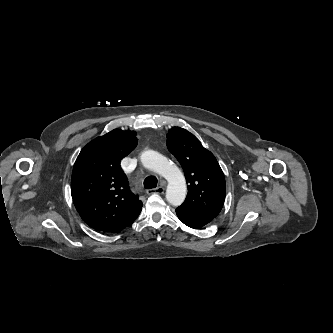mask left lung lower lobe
Returning <instances> with one entry per match:
<instances>
[{"label":"left lung lower lobe","mask_w":333,"mask_h":333,"mask_svg":"<svg viewBox=\"0 0 333 333\" xmlns=\"http://www.w3.org/2000/svg\"><path fill=\"white\" fill-rule=\"evenodd\" d=\"M176 214L184 224L195 229L203 227L214 219L213 217L193 213L179 207L176 208Z\"/></svg>","instance_id":"left-lung-lower-lobe-1"}]
</instances>
